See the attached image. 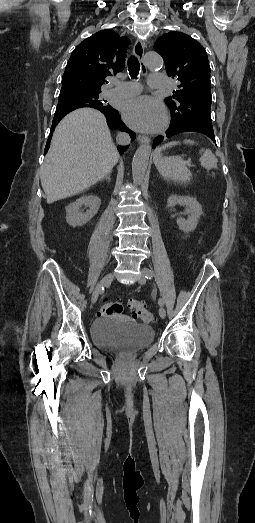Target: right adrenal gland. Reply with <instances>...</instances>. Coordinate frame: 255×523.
Masks as SVG:
<instances>
[{
	"label": "right adrenal gland",
	"instance_id": "1",
	"mask_svg": "<svg viewBox=\"0 0 255 523\" xmlns=\"http://www.w3.org/2000/svg\"><path fill=\"white\" fill-rule=\"evenodd\" d=\"M104 178H106V180H108V182H111L110 174H107V176H104Z\"/></svg>",
	"mask_w": 255,
	"mask_h": 523
}]
</instances>
